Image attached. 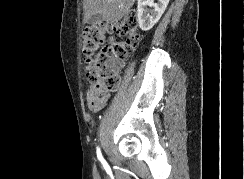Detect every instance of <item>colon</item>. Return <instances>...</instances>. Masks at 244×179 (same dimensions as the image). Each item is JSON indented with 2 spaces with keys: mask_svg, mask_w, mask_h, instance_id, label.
<instances>
[{
  "mask_svg": "<svg viewBox=\"0 0 244 179\" xmlns=\"http://www.w3.org/2000/svg\"><path fill=\"white\" fill-rule=\"evenodd\" d=\"M107 32L121 37L115 43L105 42ZM138 26L132 17L114 24L97 23L82 32V53L85 56L84 71L88 83L101 92H115L119 78L114 75L117 63L124 61L137 45Z\"/></svg>",
  "mask_w": 244,
  "mask_h": 179,
  "instance_id": "colon-1",
  "label": "colon"
}]
</instances>
